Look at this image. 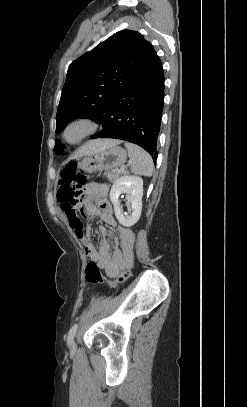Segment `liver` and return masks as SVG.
<instances>
[{"label": "liver", "instance_id": "obj_1", "mask_svg": "<svg viewBox=\"0 0 247 407\" xmlns=\"http://www.w3.org/2000/svg\"><path fill=\"white\" fill-rule=\"evenodd\" d=\"M120 143L119 140H109V139H98L90 141L80 147L76 153L71 157V159H78L80 157L90 155L92 153L99 152L107 147L116 146Z\"/></svg>", "mask_w": 247, "mask_h": 407}]
</instances>
